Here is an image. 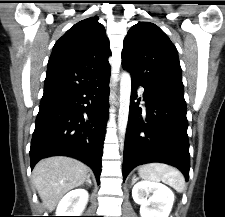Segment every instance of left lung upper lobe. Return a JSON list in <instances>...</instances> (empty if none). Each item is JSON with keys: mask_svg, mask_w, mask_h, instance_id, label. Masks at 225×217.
I'll list each match as a JSON object with an SVG mask.
<instances>
[{"mask_svg": "<svg viewBox=\"0 0 225 217\" xmlns=\"http://www.w3.org/2000/svg\"><path fill=\"white\" fill-rule=\"evenodd\" d=\"M122 66L145 88L183 94L178 52L155 24L139 22L124 40Z\"/></svg>", "mask_w": 225, "mask_h": 217, "instance_id": "1", "label": "left lung upper lobe"}]
</instances>
